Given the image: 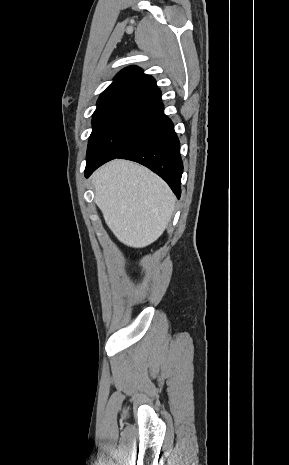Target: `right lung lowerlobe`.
I'll return each instance as SVG.
<instances>
[{
    "label": "right lung lower lobe",
    "mask_w": 289,
    "mask_h": 465,
    "mask_svg": "<svg viewBox=\"0 0 289 465\" xmlns=\"http://www.w3.org/2000/svg\"><path fill=\"white\" fill-rule=\"evenodd\" d=\"M116 158L136 161L163 178L177 198L181 194L183 163L180 143L172 121L164 114L154 122L132 145ZM109 160L87 161L85 176Z\"/></svg>",
    "instance_id": "1"
}]
</instances>
